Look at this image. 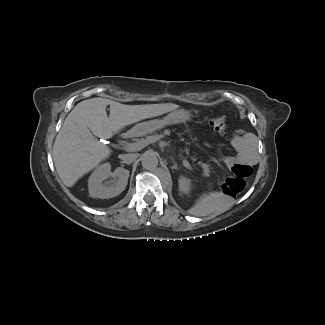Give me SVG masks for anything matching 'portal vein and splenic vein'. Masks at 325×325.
Returning a JSON list of instances; mask_svg holds the SVG:
<instances>
[{"label": "portal vein and splenic vein", "instance_id": "obj_1", "mask_svg": "<svg viewBox=\"0 0 325 325\" xmlns=\"http://www.w3.org/2000/svg\"><path fill=\"white\" fill-rule=\"evenodd\" d=\"M153 142H155V140L152 137H150L149 139H146L144 141H140L136 143H128L125 145L124 149L129 152L139 151L142 148H144L146 145ZM182 162L185 167L190 168V164L187 160L184 159Z\"/></svg>", "mask_w": 325, "mask_h": 325}]
</instances>
